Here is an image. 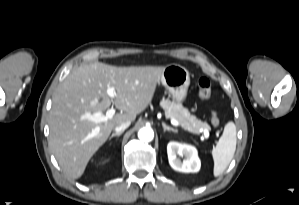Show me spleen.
<instances>
[{
    "label": "spleen",
    "instance_id": "spleen-1",
    "mask_svg": "<svg viewBox=\"0 0 299 205\" xmlns=\"http://www.w3.org/2000/svg\"><path fill=\"white\" fill-rule=\"evenodd\" d=\"M236 141V126L233 122H228L217 145L212 149L214 161L213 174L215 177L220 176L233 159L236 150Z\"/></svg>",
    "mask_w": 299,
    "mask_h": 205
}]
</instances>
